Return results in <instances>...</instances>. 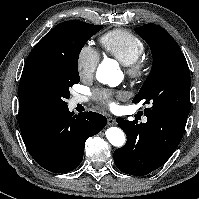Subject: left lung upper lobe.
Instances as JSON below:
<instances>
[{
    "mask_svg": "<svg viewBox=\"0 0 199 199\" xmlns=\"http://www.w3.org/2000/svg\"><path fill=\"white\" fill-rule=\"evenodd\" d=\"M151 47L152 70L133 103H152V107H167L190 112V72L179 45L161 26L145 24L135 28ZM151 108H146L147 112Z\"/></svg>",
    "mask_w": 199,
    "mask_h": 199,
    "instance_id": "5c2ea615",
    "label": "left lung upper lobe"
}]
</instances>
